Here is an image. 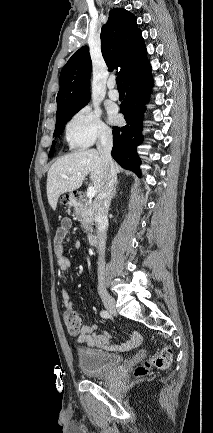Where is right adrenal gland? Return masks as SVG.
Here are the masks:
<instances>
[{
    "label": "right adrenal gland",
    "instance_id": "2a0ac1e0",
    "mask_svg": "<svg viewBox=\"0 0 213 433\" xmlns=\"http://www.w3.org/2000/svg\"><path fill=\"white\" fill-rule=\"evenodd\" d=\"M117 185H118V181H116V183H115V186H114V189H113V193H112V199L115 198V196H116V193H117V191H116Z\"/></svg>",
    "mask_w": 213,
    "mask_h": 433
}]
</instances>
